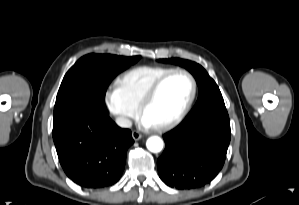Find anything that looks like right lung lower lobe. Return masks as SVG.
Returning <instances> with one entry per match:
<instances>
[{
  "instance_id": "98d812e1",
  "label": "right lung lower lobe",
  "mask_w": 299,
  "mask_h": 205,
  "mask_svg": "<svg viewBox=\"0 0 299 205\" xmlns=\"http://www.w3.org/2000/svg\"><path fill=\"white\" fill-rule=\"evenodd\" d=\"M53 140L66 175L85 188L112 186L134 143L129 129L118 127L106 109L82 106L53 123Z\"/></svg>"
}]
</instances>
